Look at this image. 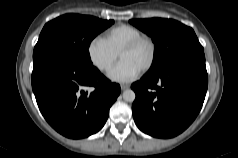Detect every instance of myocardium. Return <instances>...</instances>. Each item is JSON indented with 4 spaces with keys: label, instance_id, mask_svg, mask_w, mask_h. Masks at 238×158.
Listing matches in <instances>:
<instances>
[{
    "label": "myocardium",
    "instance_id": "obj_1",
    "mask_svg": "<svg viewBox=\"0 0 238 158\" xmlns=\"http://www.w3.org/2000/svg\"><path fill=\"white\" fill-rule=\"evenodd\" d=\"M146 42L150 46V58L148 62L141 68V71L145 72L148 71L154 64L156 60V55H157V47L154 42V40L147 35H141L139 37L134 38L130 42H128L124 47L120 50L119 56H121L122 53L131 51L138 47L141 43Z\"/></svg>",
    "mask_w": 238,
    "mask_h": 158
}]
</instances>
